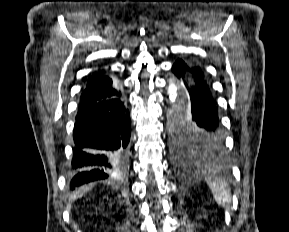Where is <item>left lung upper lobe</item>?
<instances>
[{
    "mask_svg": "<svg viewBox=\"0 0 289 232\" xmlns=\"http://www.w3.org/2000/svg\"><path fill=\"white\" fill-rule=\"evenodd\" d=\"M173 148L182 153H206L219 151L198 131L186 116H173L171 119Z\"/></svg>",
    "mask_w": 289,
    "mask_h": 232,
    "instance_id": "5c2ea615",
    "label": "left lung upper lobe"
}]
</instances>
